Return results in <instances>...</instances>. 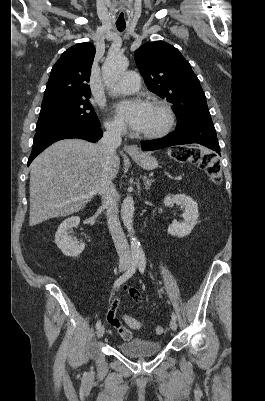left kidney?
Masks as SVG:
<instances>
[{"mask_svg":"<svg viewBox=\"0 0 265 401\" xmlns=\"http://www.w3.org/2000/svg\"><path fill=\"white\" fill-rule=\"evenodd\" d=\"M173 203L185 207V213L182 215L184 221L183 223L172 221L168 227V233L169 235H174V237H186V235H190L197 223L199 217L198 205L187 194H167L164 198L165 207H170Z\"/></svg>","mask_w":265,"mask_h":401,"instance_id":"obj_1","label":"left kidney"}]
</instances>
